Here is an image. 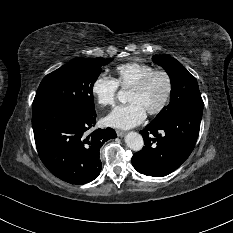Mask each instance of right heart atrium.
<instances>
[{"label":"right heart atrium","instance_id":"d8ad5b80","mask_svg":"<svg viewBox=\"0 0 233 233\" xmlns=\"http://www.w3.org/2000/svg\"><path fill=\"white\" fill-rule=\"evenodd\" d=\"M119 85L105 73H100L91 84V92L100 106H110L116 101Z\"/></svg>","mask_w":233,"mask_h":233}]
</instances>
